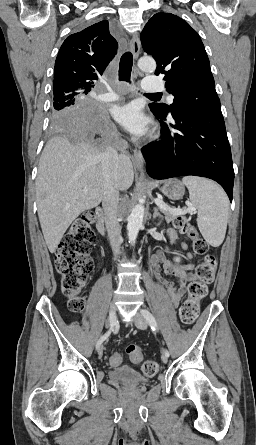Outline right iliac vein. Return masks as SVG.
Segmentation results:
<instances>
[{"label": "right iliac vein", "mask_w": 256, "mask_h": 445, "mask_svg": "<svg viewBox=\"0 0 256 445\" xmlns=\"http://www.w3.org/2000/svg\"><path fill=\"white\" fill-rule=\"evenodd\" d=\"M116 315V305L115 303H111L109 307V317H108V325L111 324L112 320L115 318ZM103 354V346L102 344L98 348V355L101 357Z\"/></svg>", "instance_id": "right-iliac-vein-1"}]
</instances>
